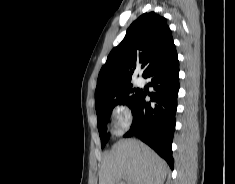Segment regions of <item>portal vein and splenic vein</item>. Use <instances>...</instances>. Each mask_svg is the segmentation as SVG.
Masks as SVG:
<instances>
[{
	"mask_svg": "<svg viewBox=\"0 0 235 184\" xmlns=\"http://www.w3.org/2000/svg\"><path fill=\"white\" fill-rule=\"evenodd\" d=\"M127 180H128V178H127ZM121 184H125V182H121Z\"/></svg>",
	"mask_w": 235,
	"mask_h": 184,
	"instance_id": "obj_1",
	"label": "portal vein and splenic vein"
}]
</instances>
